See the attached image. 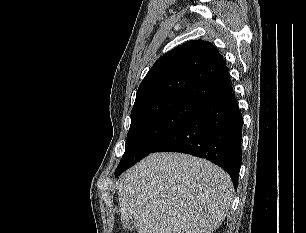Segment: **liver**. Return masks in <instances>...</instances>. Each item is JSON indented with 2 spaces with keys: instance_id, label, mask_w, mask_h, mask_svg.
Masks as SVG:
<instances>
[{
  "instance_id": "6515ba94",
  "label": "liver",
  "mask_w": 306,
  "mask_h": 233,
  "mask_svg": "<svg viewBox=\"0 0 306 233\" xmlns=\"http://www.w3.org/2000/svg\"><path fill=\"white\" fill-rule=\"evenodd\" d=\"M234 195L230 176L208 160L154 153L130 168L118 189L121 220L138 233H213Z\"/></svg>"
}]
</instances>
